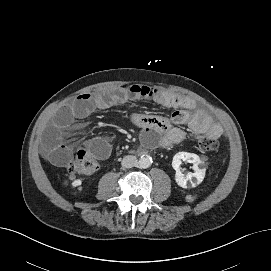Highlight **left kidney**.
I'll return each mask as SVG.
<instances>
[{
    "mask_svg": "<svg viewBox=\"0 0 271 271\" xmlns=\"http://www.w3.org/2000/svg\"><path fill=\"white\" fill-rule=\"evenodd\" d=\"M182 161H188L190 163H193V169L194 173L189 172L186 175H184L180 170V165ZM202 161L200 157L194 153H188V152H178L173 157L172 161V167L175 169V181L178 184V186L182 188H194L197 185H199L204 177H205V168H200L199 165H201Z\"/></svg>",
    "mask_w": 271,
    "mask_h": 271,
    "instance_id": "1",
    "label": "left kidney"
}]
</instances>
